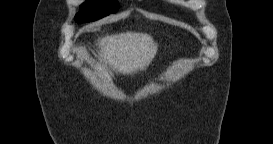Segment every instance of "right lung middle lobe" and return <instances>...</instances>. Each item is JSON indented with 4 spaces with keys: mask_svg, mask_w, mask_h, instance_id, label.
Listing matches in <instances>:
<instances>
[{
    "mask_svg": "<svg viewBox=\"0 0 273 144\" xmlns=\"http://www.w3.org/2000/svg\"><path fill=\"white\" fill-rule=\"evenodd\" d=\"M119 5L112 0H89L80 6V12L75 16L77 23L95 21L117 12Z\"/></svg>",
    "mask_w": 273,
    "mask_h": 144,
    "instance_id": "dd1d6c3e",
    "label": "right lung middle lobe"
}]
</instances>
